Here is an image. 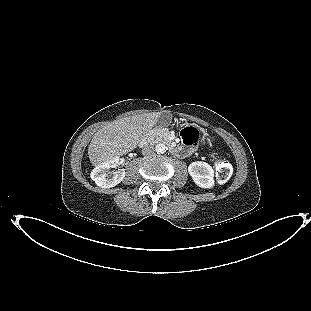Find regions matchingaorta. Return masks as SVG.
Wrapping results in <instances>:
<instances>
[{
    "label": "aorta",
    "mask_w": 311,
    "mask_h": 311,
    "mask_svg": "<svg viewBox=\"0 0 311 311\" xmlns=\"http://www.w3.org/2000/svg\"><path fill=\"white\" fill-rule=\"evenodd\" d=\"M167 150V147L164 143H159L155 146V151L157 154H163Z\"/></svg>",
    "instance_id": "obj_1"
}]
</instances>
